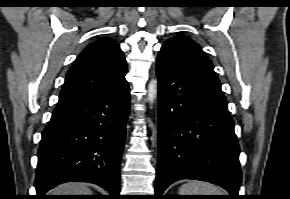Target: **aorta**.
<instances>
[{"label":"aorta","mask_w":290,"mask_h":199,"mask_svg":"<svg viewBox=\"0 0 290 199\" xmlns=\"http://www.w3.org/2000/svg\"><path fill=\"white\" fill-rule=\"evenodd\" d=\"M157 97V81L151 80L148 85V100L150 104H153Z\"/></svg>","instance_id":"1"}]
</instances>
